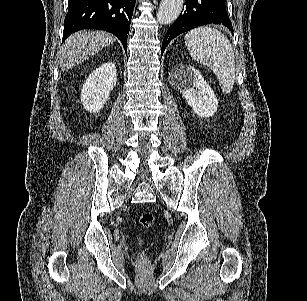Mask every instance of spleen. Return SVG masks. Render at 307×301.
Returning a JSON list of instances; mask_svg holds the SVG:
<instances>
[{
    "mask_svg": "<svg viewBox=\"0 0 307 301\" xmlns=\"http://www.w3.org/2000/svg\"><path fill=\"white\" fill-rule=\"evenodd\" d=\"M187 50L197 62L210 66L222 92H231L236 74L234 50L229 38L212 26H198L184 36Z\"/></svg>",
    "mask_w": 307,
    "mask_h": 301,
    "instance_id": "1",
    "label": "spleen"
}]
</instances>
